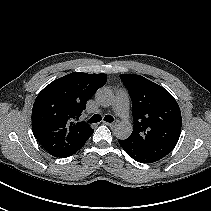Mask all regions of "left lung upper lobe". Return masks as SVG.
Wrapping results in <instances>:
<instances>
[{"label":"left lung upper lobe","instance_id":"left-lung-upper-lobe-1","mask_svg":"<svg viewBox=\"0 0 211 211\" xmlns=\"http://www.w3.org/2000/svg\"><path fill=\"white\" fill-rule=\"evenodd\" d=\"M120 78L133 105L134 127L125 142L159 159L165 157L181 133V112L176 100L163 87L140 75L123 74Z\"/></svg>","mask_w":211,"mask_h":211}]
</instances>
